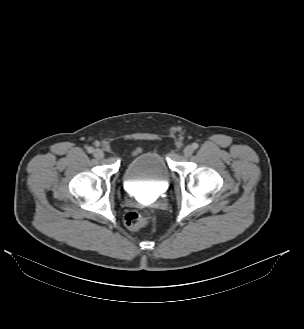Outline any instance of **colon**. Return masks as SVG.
<instances>
[{
  "label": "colon",
  "mask_w": 304,
  "mask_h": 329,
  "mask_svg": "<svg viewBox=\"0 0 304 329\" xmlns=\"http://www.w3.org/2000/svg\"><path fill=\"white\" fill-rule=\"evenodd\" d=\"M152 218L148 215H141L137 212H128L124 217V223L132 231H137L148 226Z\"/></svg>",
  "instance_id": "obj_1"
}]
</instances>
